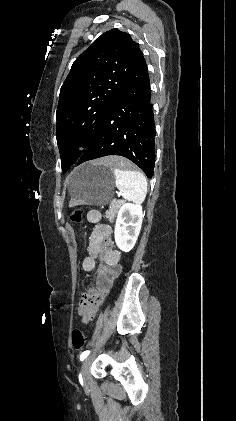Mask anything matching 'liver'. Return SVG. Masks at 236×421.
<instances>
[{
	"mask_svg": "<svg viewBox=\"0 0 236 421\" xmlns=\"http://www.w3.org/2000/svg\"><path fill=\"white\" fill-rule=\"evenodd\" d=\"M121 164V162H126V160H121V158H119V156H105V158H103V160H99L98 164H108V166H110V164Z\"/></svg>",
	"mask_w": 236,
	"mask_h": 421,
	"instance_id": "liver-1",
	"label": "liver"
}]
</instances>
